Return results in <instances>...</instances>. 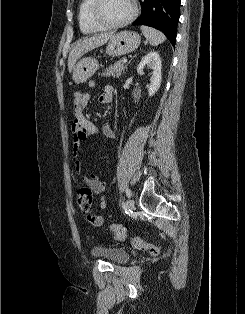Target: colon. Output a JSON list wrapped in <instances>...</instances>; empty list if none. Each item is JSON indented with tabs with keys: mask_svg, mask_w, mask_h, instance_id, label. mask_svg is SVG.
Segmentation results:
<instances>
[{
	"mask_svg": "<svg viewBox=\"0 0 245 314\" xmlns=\"http://www.w3.org/2000/svg\"><path fill=\"white\" fill-rule=\"evenodd\" d=\"M92 190L88 187H81L77 192V203L80 210L87 214L91 212L92 206ZM110 231L114 234L117 240H125L127 238L126 228L120 224H111L109 226ZM131 244L134 248L147 250L152 255H158L160 253V248L158 245L153 243L145 242L140 237H133L131 239Z\"/></svg>",
	"mask_w": 245,
	"mask_h": 314,
	"instance_id": "5ec220e1",
	"label": "colon"
}]
</instances>
